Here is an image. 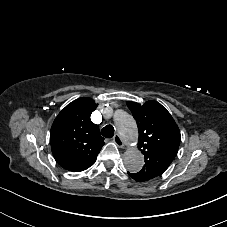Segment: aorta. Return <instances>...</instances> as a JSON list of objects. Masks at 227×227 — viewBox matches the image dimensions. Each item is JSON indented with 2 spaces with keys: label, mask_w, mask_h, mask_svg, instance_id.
Here are the masks:
<instances>
[{
  "label": "aorta",
  "mask_w": 227,
  "mask_h": 227,
  "mask_svg": "<svg viewBox=\"0 0 227 227\" xmlns=\"http://www.w3.org/2000/svg\"><path fill=\"white\" fill-rule=\"evenodd\" d=\"M115 125L119 135L128 143L137 141L138 129L134 118L124 111H119L115 117ZM126 169L131 173L139 172L144 166V156L136 147H130L123 158Z\"/></svg>",
  "instance_id": "obj_1"
}]
</instances>
